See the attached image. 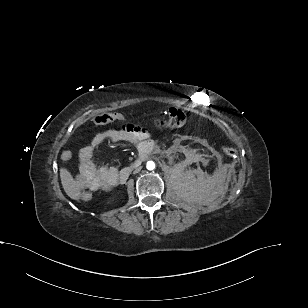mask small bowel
<instances>
[{
    "label": "small bowel",
    "instance_id": "1",
    "mask_svg": "<svg viewBox=\"0 0 308 308\" xmlns=\"http://www.w3.org/2000/svg\"><path fill=\"white\" fill-rule=\"evenodd\" d=\"M148 138L149 133L144 128L133 124L97 134L91 145L80 153V171L76 176L77 190H107L115 185L117 169L110 166H99L93 161V153L101 144L107 141L141 144Z\"/></svg>",
    "mask_w": 308,
    "mask_h": 308
}]
</instances>
